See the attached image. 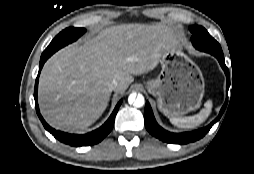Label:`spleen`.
Wrapping results in <instances>:
<instances>
[{"instance_id": "1", "label": "spleen", "mask_w": 254, "mask_h": 174, "mask_svg": "<svg viewBox=\"0 0 254 174\" xmlns=\"http://www.w3.org/2000/svg\"><path fill=\"white\" fill-rule=\"evenodd\" d=\"M213 103L211 100H208L204 104V108L194 116L188 117H171L170 122L179 127L184 129H191L195 128L198 125L202 124L210 115L212 111Z\"/></svg>"}]
</instances>
